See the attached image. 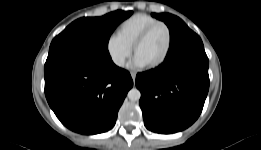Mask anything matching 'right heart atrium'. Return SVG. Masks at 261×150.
Listing matches in <instances>:
<instances>
[{
	"mask_svg": "<svg viewBox=\"0 0 261 150\" xmlns=\"http://www.w3.org/2000/svg\"><path fill=\"white\" fill-rule=\"evenodd\" d=\"M106 52L111 62L122 68L131 56L132 48L125 44L117 35H110L106 40Z\"/></svg>",
	"mask_w": 261,
	"mask_h": 150,
	"instance_id": "d8ad5b80",
	"label": "right heart atrium"
}]
</instances>
